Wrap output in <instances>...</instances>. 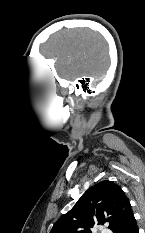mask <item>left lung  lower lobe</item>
<instances>
[{
	"label": "left lung lower lobe",
	"instance_id": "1",
	"mask_svg": "<svg viewBox=\"0 0 145 233\" xmlns=\"http://www.w3.org/2000/svg\"><path fill=\"white\" fill-rule=\"evenodd\" d=\"M125 233H139V228L138 225L136 223V220H134L131 225L129 226V228L127 229V231Z\"/></svg>",
	"mask_w": 145,
	"mask_h": 233
}]
</instances>
